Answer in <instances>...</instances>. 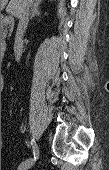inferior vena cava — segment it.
<instances>
[{"mask_svg": "<svg viewBox=\"0 0 109 170\" xmlns=\"http://www.w3.org/2000/svg\"><path fill=\"white\" fill-rule=\"evenodd\" d=\"M34 0H22L21 13L19 16L18 28L15 36L14 53L17 62L23 52V33L28 25L30 7L33 5Z\"/></svg>", "mask_w": 109, "mask_h": 170, "instance_id": "1", "label": "inferior vena cava"}]
</instances>
